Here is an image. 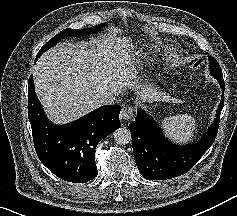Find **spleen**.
I'll list each match as a JSON object with an SVG mask.
<instances>
[{"instance_id":"spleen-1","label":"spleen","mask_w":237,"mask_h":216,"mask_svg":"<svg viewBox=\"0 0 237 216\" xmlns=\"http://www.w3.org/2000/svg\"><path fill=\"white\" fill-rule=\"evenodd\" d=\"M165 137L174 143L187 144L194 139L195 119L187 114L166 117L161 122Z\"/></svg>"}]
</instances>
